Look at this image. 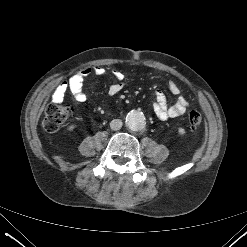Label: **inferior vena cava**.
I'll list each match as a JSON object with an SVG mask.
<instances>
[{
  "mask_svg": "<svg viewBox=\"0 0 247 247\" xmlns=\"http://www.w3.org/2000/svg\"><path fill=\"white\" fill-rule=\"evenodd\" d=\"M122 125H123V123L120 119H113L110 122V128L114 131L121 129Z\"/></svg>",
  "mask_w": 247,
  "mask_h": 247,
  "instance_id": "1",
  "label": "inferior vena cava"
}]
</instances>
